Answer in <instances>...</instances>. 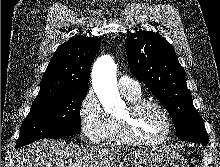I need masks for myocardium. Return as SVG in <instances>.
<instances>
[{"mask_svg":"<svg viewBox=\"0 0 220 167\" xmlns=\"http://www.w3.org/2000/svg\"><path fill=\"white\" fill-rule=\"evenodd\" d=\"M146 106H153L161 111L166 120V131L163 136L154 140H144L138 138L134 132V123L137 114ZM119 125V135L121 140L128 145L155 147L168 141L173 133L174 123L167 108L160 102L149 99H139L129 103L127 113L117 118Z\"/></svg>","mask_w":220,"mask_h":167,"instance_id":"myocardium-1","label":"myocardium"}]
</instances>
